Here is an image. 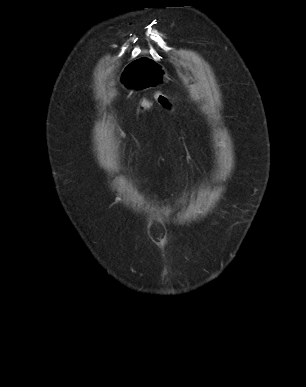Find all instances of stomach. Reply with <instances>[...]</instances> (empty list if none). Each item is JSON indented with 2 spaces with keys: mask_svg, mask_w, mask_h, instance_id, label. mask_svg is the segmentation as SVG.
<instances>
[{
  "mask_svg": "<svg viewBox=\"0 0 306 387\" xmlns=\"http://www.w3.org/2000/svg\"><path fill=\"white\" fill-rule=\"evenodd\" d=\"M164 64V59L137 55L136 61H129V66L122 68L121 82L125 84V91H149L150 87H161L162 82L169 81Z\"/></svg>",
  "mask_w": 306,
  "mask_h": 387,
  "instance_id": "stomach-1",
  "label": "stomach"
}]
</instances>
